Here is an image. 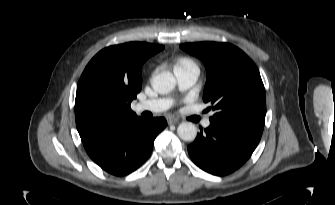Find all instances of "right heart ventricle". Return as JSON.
<instances>
[{"mask_svg": "<svg viewBox=\"0 0 335 205\" xmlns=\"http://www.w3.org/2000/svg\"><path fill=\"white\" fill-rule=\"evenodd\" d=\"M188 63H193V62L191 60H188V59H182L177 64H188Z\"/></svg>", "mask_w": 335, "mask_h": 205, "instance_id": "obj_1", "label": "right heart ventricle"}]
</instances>
